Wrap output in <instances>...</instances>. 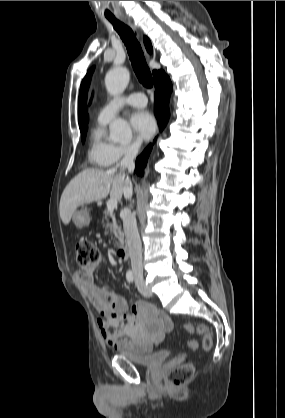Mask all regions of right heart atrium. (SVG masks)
<instances>
[{
    "instance_id": "d8ad5b80",
    "label": "right heart atrium",
    "mask_w": 285,
    "mask_h": 418,
    "mask_svg": "<svg viewBox=\"0 0 285 418\" xmlns=\"http://www.w3.org/2000/svg\"><path fill=\"white\" fill-rule=\"evenodd\" d=\"M139 149L140 145L138 142H132L130 144L125 145H116L113 151L111 164H116L120 161H124L134 157L139 152Z\"/></svg>"
}]
</instances>
